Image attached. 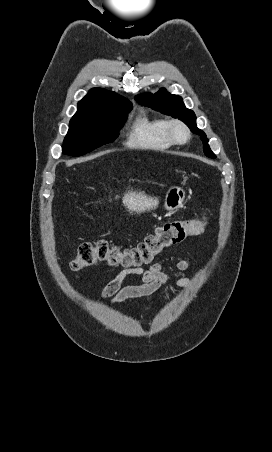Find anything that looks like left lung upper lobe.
I'll use <instances>...</instances> for the list:
<instances>
[{
    "label": "left lung upper lobe",
    "mask_w": 272,
    "mask_h": 452,
    "mask_svg": "<svg viewBox=\"0 0 272 452\" xmlns=\"http://www.w3.org/2000/svg\"><path fill=\"white\" fill-rule=\"evenodd\" d=\"M136 101L142 105L151 107L157 111H161L165 114L171 115L174 118L182 120L188 125L192 132L202 136L201 139L204 144L203 149L205 155L210 158H215L214 153L210 150L205 133L196 126V116L194 112L185 107L180 96L172 95L165 89H160L155 94L145 93L136 96Z\"/></svg>",
    "instance_id": "obj_1"
}]
</instances>
